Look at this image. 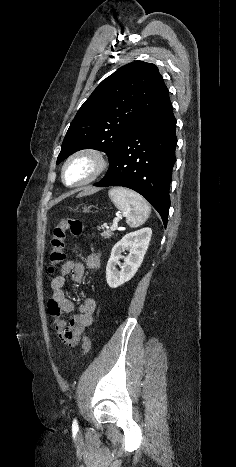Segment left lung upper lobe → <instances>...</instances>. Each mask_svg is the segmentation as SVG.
<instances>
[{"mask_svg": "<svg viewBox=\"0 0 236 467\" xmlns=\"http://www.w3.org/2000/svg\"><path fill=\"white\" fill-rule=\"evenodd\" d=\"M168 93L158 68L129 63L102 81L80 107L66 133L57 164L81 149L116 155L126 134Z\"/></svg>", "mask_w": 236, "mask_h": 467, "instance_id": "1", "label": "left lung upper lobe"}]
</instances>
